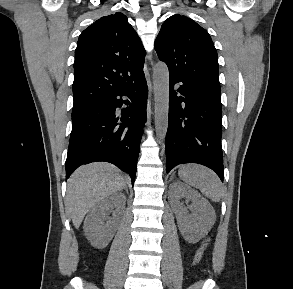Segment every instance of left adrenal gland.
<instances>
[{"instance_id":"obj_1","label":"left adrenal gland","mask_w":293,"mask_h":289,"mask_svg":"<svg viewBox=\"0 0 293 289\" xmlns=\"http://www.w3.org/2000/svg\"><path fill=\"white\" fill-rule=\"evenodd\" d=\"M173 178H174V175L171 176L170 181L173 180Z\"/></svg>"}]
</instances>
